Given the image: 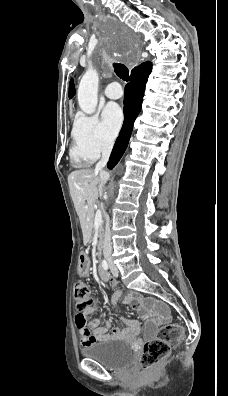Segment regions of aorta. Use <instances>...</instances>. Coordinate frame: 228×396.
<instances>
[{"label": "aorta", "instance_id": "aorta-1", "mask_svg": "<svg viewBox=\"0 0 228 396\" xmlns=\"http://www.w3.org/2000/svg\"><path fill=\"white\" fill-rule=\"evenodd\" d=\"M98 73L93 68H88L83 75L78 87V104L86 114H93L98 103Z\"/></svg>", "mask_w": 228, "mask_h": 396}]
</instances>
